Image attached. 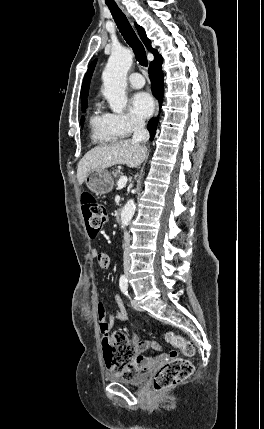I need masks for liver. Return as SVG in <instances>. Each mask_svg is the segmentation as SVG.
Here are the masks:
<instances>
[{
    "instance_id": "liver-1",
    "label": "liver",
    "mask_w": 264,
    "mask_h": 429,
    "mask_svg": "<svg viewBox=\"0 0 264 429\" xmlns=\"http://www.w3.org/2000/svg\"><path fill=\"white\" fill-rule=\"evenodd\" d=\"M147 156V149L131 140H121L97 146L88 151L78 163L77 179L81 185L88 173L95 169H105L116 164H125L136 168Z\"/></svg>"
}]
</instances>
